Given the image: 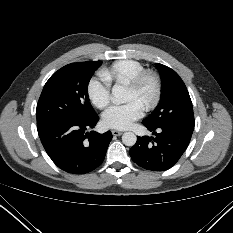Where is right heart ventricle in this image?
<instances>
[{"instance_id":"1","label":"right heart ventricle","mask_w":233,"mask_h":233,"mask_svg":"<svg viewBox=\"0 0 233 233\" xmlns=\"http://www.w3.org/2000/svg\"><path fill=\"white\" fill-rule=\"evenodd\" d=\"M144 70L142 63L132 59L113 62L108 68L102 69L100 75L111 83H128L133 77Z\"/></svg>"}]
</instances>
